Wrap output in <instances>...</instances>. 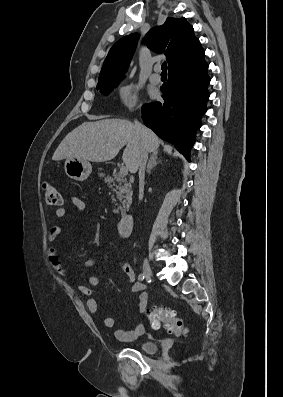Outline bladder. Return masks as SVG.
<instances>
[{"label":"bladder","mask_w":283,"mask_h":397,"mask_svg":"<svg viewBox=\"0 0 283 397\" xmlns=\"http://www.w3.org/2000/svg\"><path fill=\"white\" fill-rule=\"evenodd\" d=\"M138 350L146 354H153L158 350V343L156 341H146L136 346Z\"/></svg>","instance_id":"1"}]
</instances>
